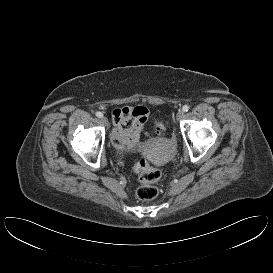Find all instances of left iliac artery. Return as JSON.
Segmentation results:
<instances>
[{
  "mask_svg": "<svg viewBox=\"0 0 273 273\" xmlns=\"http://www.w3.org/2000/svg\"><path fill=\"white\" fill-rule=\"evenodd\" d=\"M182 110H183L184 112H187V111L189 110V106H188V105H184V106L182 107Z\"/></svg>",
  "mask_w": 273,
  "mask_h": 273,
  "instance_id": "44dca946",
  "label": "left iliac artery"
}]
</instances>
